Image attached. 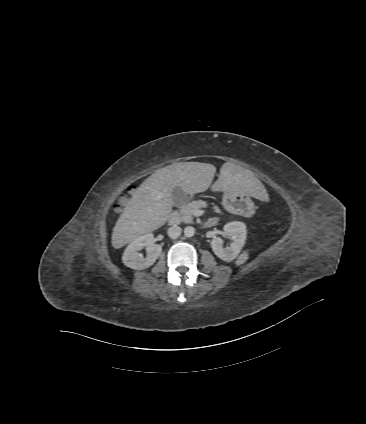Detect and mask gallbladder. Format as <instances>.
<instances>
[{"label": "gallbladder", "mask_w": 366, "mask_h": 424, "mask_svg": "<svg viewBox=\"0 0 366 424\" xmlns=\"http://www.w3.org/2000/svg\"><path fill=\"white\" fill-rule=\"evenodd\" d=\"M175 205H179L180 201L185 197L184 191L180 187H176L172 192Z\"/></svg>", "instance_id": "obj_1"}]
</instances>
